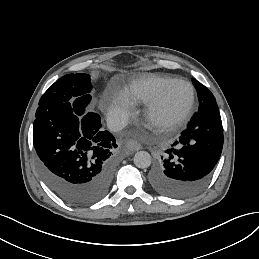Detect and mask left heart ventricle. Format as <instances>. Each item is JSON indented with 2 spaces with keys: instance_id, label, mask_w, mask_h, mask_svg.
Instances as JSON below:
<instances>
[{
  "instance_id": "b2bd125f",
  "label": "left heart ventricle",
  "mask_w": 259,
  "mask_h": 259,
  "mask_svg": "<svg viewBox=\"0 0 259 259\" xmlns=\"http://www.w3.org/2000/svg\"><path fill=\"white\" fill-rule=\"evenodd\" d=\"M147 94L159 105L158 111L150 117L159 126L181 111L191 96L190 89L184 82L159 83L153 79H149Z\"/></svg>"
}]
</instances>
